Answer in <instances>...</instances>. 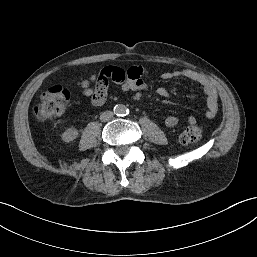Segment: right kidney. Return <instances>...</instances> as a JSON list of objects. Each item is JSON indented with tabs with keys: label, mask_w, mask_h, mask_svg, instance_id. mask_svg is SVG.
<instances>
[{
	"label": "right kidney",
	"mask_w": 257,
	"mask_h": 257,
	"mask_svg": "<svg viewBox=\"0 0 257 257\" xmlns=\"http://www.w3.org/2000/svg\"><path fill=\"white\" fill-rule=\"evenodd\" d=\"M77 136H78V130L75 127L71 126L62 134V139L65 142H71Z\"/></svg>",
	"instance_id": "right-kidney-1"
}]
</instances>
